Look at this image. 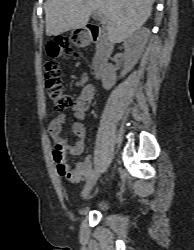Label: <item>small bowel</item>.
I'll return each mask as SVG.
<instances>
[{"mask_svg": "<svg viewBox=\"0 0 194 250\" xmlns=\"http://www.w3.org/2000/svg\"><path fill=\"white\" fill-rule=\"evenodd\" d=\"M79 85L80 95L77 98L76 106L72 109V112L62 113L54 116L51 119L48 127L50 136L52 137L55 145L53 156L57 165L58 174L60 176L66 177L71 183L81 182L92 166V157L86 156L82 161L75 165L74 169H70L67 164H65L67 166V170L63 172L60 169L62 161L56 157V152L60 150L64 153H68L69 155L78 156L84 149L86 127L82 120L84 119L85 114L94 98L95 88L91 83L87 82L85 77L81 78ZM71 116H74L78 119V121L72 124V132L76 137V142L74 144L69 143L62 135L63 124Z\"/></svg>", "mask_w": 194, "mask_h": 250, "instance_id": "obj_1", "label": "small bowel"}]
</instances>
